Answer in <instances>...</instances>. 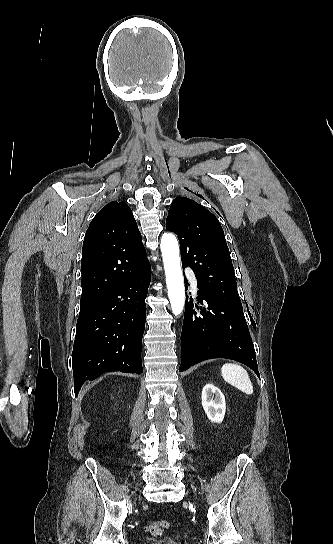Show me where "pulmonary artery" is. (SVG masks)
Instances as JSON below:
<instances>
[{"label":"pulmonary artery","instance_id":"pulmonary-artery-1","mask_svg":"<svg viewBox=\"0 0 333 544\" xmlns=\"http://www.w3.org/2000/svg\"><path fill=\"white\" fill-rule=\"evenodd\" d=\"M187 276H188V278L190 279L192 285H193L194 287H196V286H197V282H196L194 273H193L191 270H187Z\"/></svg>","mask_w":333,"mask_h":544}]
</instances>
